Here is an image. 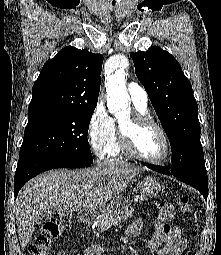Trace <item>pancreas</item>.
Segmentation results:
<instances>
[{"label": "pancreas", "instance_id": "pancreas-1", "mask_svg": "<svg viewBox=\"0 0 221 255\" xmlns=\"http://www.w3.org/2000/svg\"><path fill=\"white\" fill-rule=\"evenodd\" d=\"M133 208L131 207V203L126 201L125 210L120 215L115 214H108L105 216L102 220L99 221L98 227H100L101 230H107L111 226L116 225L118 222H120L122 219H127L133 215Z\"/></svg>", "mask_w": 221, "mask_h": 255}]
</instances>
